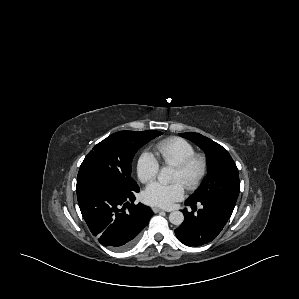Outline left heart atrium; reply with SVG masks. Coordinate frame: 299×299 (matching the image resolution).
Returning <instances> with one entry per match:
<instances>
[{
    "label": "left heart atrium",
    "instance_id": "39dd6f15",
    "mask_svg": "<svg viewBox=\"0 0 299 299\" xmlns=\"http://www.w3.org/2000/svg\"><path fill=\"white\" fill-rule=\"evenodd\" d=\"M184 191V185L179 181L172 184L153 182L146 187L143 198L148 204L169 208L182 199Z\"/></svg>",
    "mask_w": 299,
    "mask_h": 299
}]
</instances>
